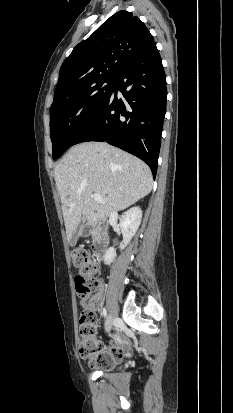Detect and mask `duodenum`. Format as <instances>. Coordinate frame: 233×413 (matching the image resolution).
Here are the masks:
<instances>
[{
    "label": "duodenum",
    "mask_w": 233,
    "mask_h": 413,
    "mask_svg": "<svg viewBox=\"0 0 233 413\" xmlns=\"http://www.w3.org/2000/svg\"><path fill=\"white\" fill-rule=\"evenodd\" d=\"M84 233H87V231L84 230ZM94 234H95V240L92 246V251H93L94 256L97 259H101L104 256L105 251L107 249L108 235L101 228H97L94 231Z\"/></svg>",
    "instance_id": "410a0bca"
}]
</instances>
